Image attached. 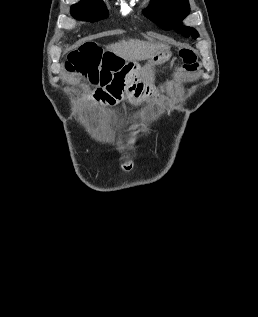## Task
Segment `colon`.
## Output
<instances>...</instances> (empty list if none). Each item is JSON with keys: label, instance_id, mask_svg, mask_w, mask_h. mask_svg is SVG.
I'll return each instance as SVG.
<instances>
[{"label": "colon", "instance_id": "5ec220e1", "mask_svg": "<svg viewBox=\"0 0 258 317\" xmlns=\"http://www.w3.org/2000/svg\"><path fill=\"white\" fill-rule=\"evenodd\" d=\"M184 69L194 72L198 69V59L192 49L180 51ZM121 67V58L113 51L104 50L95 42H86L72 51L65 63L69 72L81 73L92 84H103Z\"/></svg>", "mask_w": 258, "mask_h": 317}]
</instances>
